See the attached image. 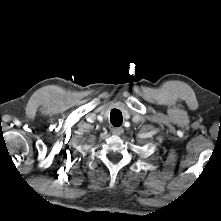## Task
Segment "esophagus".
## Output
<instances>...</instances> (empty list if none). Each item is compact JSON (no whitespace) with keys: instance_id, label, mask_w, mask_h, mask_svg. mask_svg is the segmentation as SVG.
Returning a JSON list of instances; mask_svg holds the SVG:
<instances>
[{"instance_id":"esophagus-1","label":"esophagus","mask_w":221,"mask_h":221,"mask_svg":"<svg viewBox=\"0 0 221 221\" xmlns=\"http://www.w3.org/2000/svg\"><path fill=\"white\" fill-rule=\"evenodd\" d=\"M123 132H124V129L122 127H114V128H112V133L114 135L120 136V135L123 134Z\"/></svg>"}]
</instances>
